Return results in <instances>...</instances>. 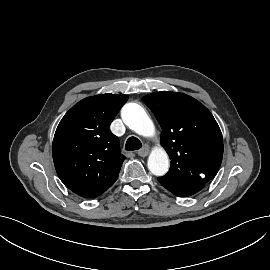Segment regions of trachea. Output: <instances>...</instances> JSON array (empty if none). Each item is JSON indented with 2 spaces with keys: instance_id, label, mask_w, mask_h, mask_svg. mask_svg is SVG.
<instances>
[{
  "instance_id": "trachea-1",
  "label": "trachea",
  "mask_w": 270,
  "mask_h": 270,
  "mask_svg": "<svg viewBox=\"0 0 270 270\" xmlns=\"http://www.w3.org/2000/svg\"><path fill=\"white\" fill-rule=\"evenodd\" d=\"M141 147H142L141 141L134 136L129 137L126 144H125V149L128 151L138 150Z\"/></svg>"
}]
</instances>
